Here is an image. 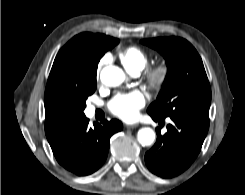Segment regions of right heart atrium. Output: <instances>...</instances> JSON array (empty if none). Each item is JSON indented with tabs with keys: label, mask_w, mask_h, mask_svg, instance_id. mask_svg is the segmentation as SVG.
<instances>
[{
	"label": "right heart atrium",
	"mask_w": 245,
	"mask_h": 195,
	"mask_svg": "<svg viewBox=\"0 0 245 195\" xmlns=\"http://www.w3.org/2000/svg\"><path fill=\"white\" fill-rule=\"evenodd\" d=\"M107 62V57H103L100 62H99V65H98V74L102 68V66Z\"/></svg>",
	"instance_id": "right-heart-atrium-1"
}]
</instances>
